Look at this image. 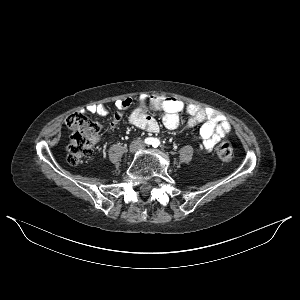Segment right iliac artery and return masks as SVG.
I'll list each match as a JSON object with an SVG mask.
<instances>
[{
	"label": "right iliac artery",
	"mask_w": 300,
	"mask_h": 300,
	"mask_svg": "<svg viewBox=\"0 0 300 300\" xmlns=\"http://www.w3.org/2000/svg\"><path fill=\"white\" fill-rule=\"evenodd\" d=\"M146 144H148V145H153V143H154V139H152V138H146L145 139V141H144Z\"/></svg>",
	"instance_id": "obj_1"
}]
</instances>
